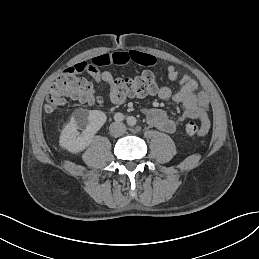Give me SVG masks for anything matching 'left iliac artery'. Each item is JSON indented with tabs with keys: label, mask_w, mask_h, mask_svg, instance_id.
<instances>
[{
	"label": "left iliac artery",
	"mask_w": 259,
	"mask_h": 259,
	"mask_svg": "<svg viewBox=\"0 0 259 259\" xmlns=\"http://www.w3.org/2000/svg\"><path fill=\"white\" fill-rule=\"evenodd\" d=\"M127 123H128V125H130V126H135L136 123H137V120H136L135 117L129 116V117L127 118Z\"/></svg>",
	"instance_id": "left-iliac-artery-1"
}]
</instances>
